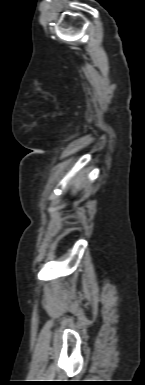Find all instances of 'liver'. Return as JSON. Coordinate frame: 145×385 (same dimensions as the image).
<instances>
[{"label":"liver","mask_w":145,"mask_h":385,"mask_svg":"<svg viewBox=\"0 0 145 385\" xmlns=\"http://www.w3.org/2000/svg\"><path fill=\"white\" fill-rule=\"evenodd\" d=\"M74 184L76 186V188H79L81 186V180L79 178H77L75 181H74Z\"/></svg>","instance_id":"6515ba94"}]
</instances>
